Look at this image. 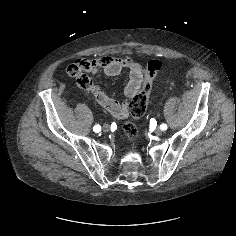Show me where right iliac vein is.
Wrapping results in <instances>:
<instances>
[{"label":"right iliac vein","mask_w":236,"mask_h":236,"mask_svg":"<svg viewBox=\"0 0 236 236\" xmlns=\"http://www.w3.org/2000/svg\"><path fill=\"white\" fill-rule=\"evenodd\" d=\"M102 128H103V131L108 132V131L110 130V125L107 124V123H105V124L102 126Z\"/></svg>","instance_id":"1"}]
</instances>
